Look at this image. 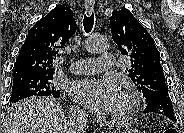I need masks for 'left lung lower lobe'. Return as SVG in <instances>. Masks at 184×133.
I'll return each instance as SVG.
<instances>
[{
    "label": "left lung lower lobe",
    "instance_id": "left-lung-lower-lobe-1",
    "mask_svg": "<svg viewBox=\"0 0 184 133\" xmlns=\"http://www.w3.org/2000/svg\"><path fill=\"white\" fill-rule=\"evenodd\" d=\"M159 98V99H158ZM156 99L147 102V106L144 113H159L168 117L173 122H176V118L173 112L172 102L169 96H160Z\"/></svg>",
    "mask_w": 184,
    "mask_h": 133
}]
</instances>
